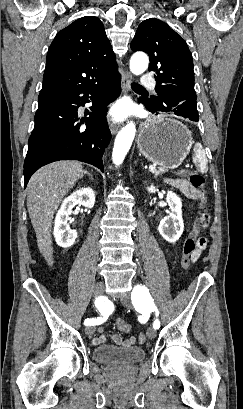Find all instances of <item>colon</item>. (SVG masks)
<instances>
[{
	"mask_svg": "<svg viewBox=\"0 0 243 409\" xmlns=\"http://www.w3.org/2000/svg\"><path fill=\"white\" fill-rule=\"evenodd\" d=\"M181 175L185 177L187 182L200 193V211L198 212L197 217L195 219L193 230L190 233V235L186 238L184 245H183L181 265L184 269H187L190 267L191 263L193 262L192 254L196 249L197 240L199 238V233L203 227V216H204L203 209L205 208V205H206L207 191L205 188L204 178L202 175L196 172H191L187 170L182 171ZM116 323H117V326L125 332L131 329L130 324L127 323L123 319H118ZM139 341L140 343H144L146 341V337L144 334L139 335Z\"/></svg>",
	"mask_w": 243,
	"mask_h": 409,
	"instance_id": "colon-1",
	"label": "colon"
}]
</instances>
